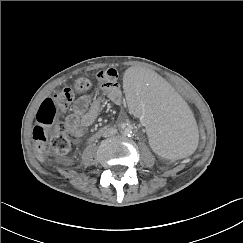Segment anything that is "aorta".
<instances>
[{"label":"aorta","instance_id":"aorta-1","mask_svg":"<svg viewBox=\"0 0 243 243\" xmlns=\"http://www.w3.org/2000/svg\"><path fill=\"white\" fill-rule=\"evenodd\" d=\"M124 133H125L126 135H131V134L133 133V128L130 127V126L126 127V128L124 129Z\"/></svg>","mask_w":243,"mask_h":243}]
</instances>
